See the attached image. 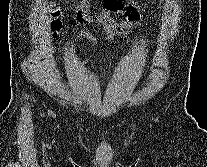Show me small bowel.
<instances>
[{
    "mask_svg": "<svg viewBox=\"0 0 207 167\" xmlns=\"http://www.w3.org/2000/svg\"><path fill=\"white\" fill-rule=\"evenodd\" d=\"M105 9L97 15H90L88 9L90 0H82L80 3H75L77 10L76 22L87 25L96 23L100 25L102 30L107 35L108 42L111 43L114 37L119 33H130L139 24L140 7H132L124 9L120 0H102ZM114 15L122 17L121 21L115 19ZM81 35L93 43H96V38L89 32H80Z\"/></svg>",
    "mask_w": 207,
    "mask_h": 167,
    "instance_id": "1",
    "label": "small bowel"
}]
</instances>
